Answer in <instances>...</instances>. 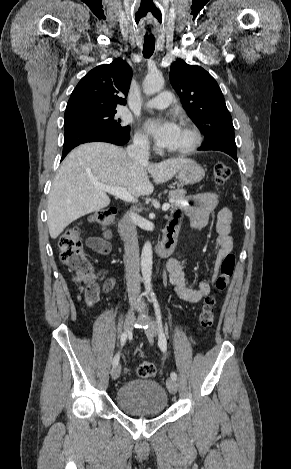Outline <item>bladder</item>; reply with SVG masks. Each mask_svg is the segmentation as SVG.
I'll use <instances>...</instances> for the list:
<instances>
[{
    "mask_svg": "<svg viewBox=\"0 0 291 469\" xmlns=\"http://www.w3.org/2000/svg\"><path fill=\"white\" fill-rule=\"evenodd\" d=\"M116 402L125 413L137 416H156L166 410L168 396L157 381L133 378L118 389Z\"/></svg>",
    "mask_w": 291,
    "mask_h": 469,
    "instance_id": "obj_1",
    "label": "bladder"
}]
</instances>
